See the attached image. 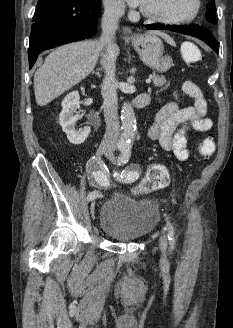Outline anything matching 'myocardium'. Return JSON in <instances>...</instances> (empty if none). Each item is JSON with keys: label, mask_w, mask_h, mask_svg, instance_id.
I'll use <instances>...</instances> for the list:
<instances>
[{"label": "myocardium", "mask_w": 233, "mask_h": 328, "mask_svg": "<svg viewBox=\"0 0 233 328\" xmlns=\"http://www.w3.org/2000/svg\"><path fill=\"white\" fill-rule=\"evenodd\" d=\"M194 8L190 15L184 18H166L159 15H155L152 13L147 12L142 7L140 8L141 15L155 23L160 24H167V25H182V24H189L197 19L199 16L201 9H202V1L201 0H193Z\"/></svg>", "instance_id": "obj_1"}]
</instances>
